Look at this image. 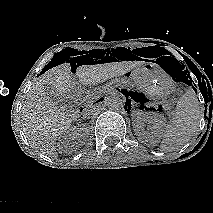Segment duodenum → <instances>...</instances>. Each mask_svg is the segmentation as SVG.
<instances>
[{"label": "duodenum", "instance_id": "duodenum-1", "mask_svg": "<svg viewBox=\"0 0 213 213\" xmlns=\"http://www.w3.org/2000/svg\"><path fill=\"white\" fill-rule=\"evenodd\" d=\"M74 95H75V94H74ZM96 104H97V102L94 101V102H92V103H89V104L86 106V108H94Z\"/></svg>", "mask_w": 213, "mask_h": 213}]
</instances>
